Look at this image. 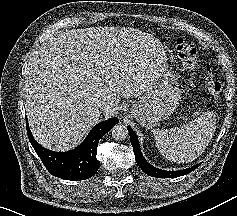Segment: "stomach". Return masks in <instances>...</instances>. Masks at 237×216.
Wrapping results in <instances>:
<instances>
[{
  "instance_id": "1",
  "label": "stomach",
  "mask_w": 237,
  "mask_h": 216,
  "mask_svg": "<svg viewBox=\"0 0 237 216\" xmlns=\"http://www.w3.org/2000/svg\"><path fill=\"white\" fill-rule=\"evenodd\" d=\"M180 90L173 80L152 83L130 108L131 116L143 127L151 128L178 107Z\"/></svg>"
}]
</instances>
